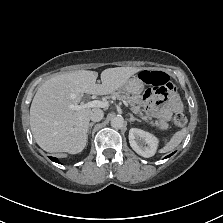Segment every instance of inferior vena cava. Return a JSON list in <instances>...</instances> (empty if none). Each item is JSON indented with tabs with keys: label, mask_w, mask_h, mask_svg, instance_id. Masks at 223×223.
I'll return each instance as SVG.
<instances>
[{
	"label": "inferior vena cava",
	"mask_w": 223,
	"mask_h": 223,
	"mask_svg": "<svg viewBox=\"0 0 223 223\" xmlns=\"http://www.w3.org/2000/svg\"><path fill=\"white\" fill-rule=\"evenodd\" d=\"M103 116H104V113L101 109L94 108V109H92L89 118L94 122H98V121L102 120Z\"/></svg>",
	"instance_id": "inferior-vena-cava-1"
}]
</instances>
